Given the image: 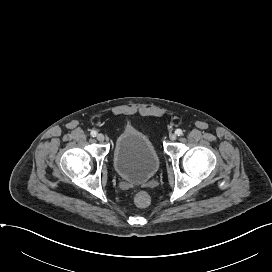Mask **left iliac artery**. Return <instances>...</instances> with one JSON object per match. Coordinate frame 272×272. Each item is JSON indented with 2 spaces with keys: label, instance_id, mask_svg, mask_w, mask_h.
<instances>
[{
  "label": "left iliac artery",
  "instance_id": "left-iliac-artery-1",
  "mask_svg": "<svg viewBox=\"0 0 272 272\" xmlns=\"http://www.w3.org/2000/svg\"><path fill=\"white\" fill-rule=\"evenodd\" d=\"M175 133H176L178 136H180V135L183 134V131H182L181 129H177V130L175 131Z\"/></svg>",
  "mask_w": 272,
  "mask_h": 272
}]
</instances>
